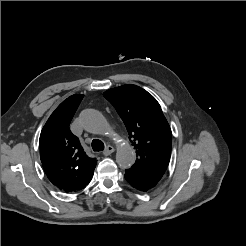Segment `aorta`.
<instances>
[{
	"instance_id": "1",
	"label": "aorta",
	"mask_w": 246,
	"mask_h": 246,
	"mask_svg": "<svg viewBox=\"0 0 246 246\" xmlns=\"http://www.w3.org/2000/svg\"><path fill=\"white\" fill-rule=\"evenodd\" d=\"M81 122L83 127L91 133L102 134L107 129V122L104 116L94 109L84 110L81 114ZM135 159V152L130 145L126 143L118 145L116 162L120 167H131L135 163Z\"/></svg>"
}]
</instances>
